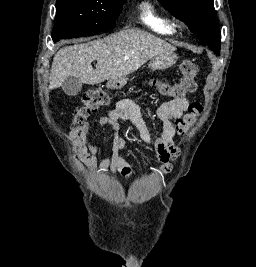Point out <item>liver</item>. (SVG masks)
I'll return each mask as SVG.
<instances>
[{"instance_id":"obj_1","label":"liver","mask_w":256,"mask_h":267,"mask_svg":"<svg viewBox=\"0 0 256 267\" xmlns=\"http://www.w3.org/2000/svg\"><path fill=\"white\" fill-rule=\"evenodd\" d=\"M175 50L177 48L148 32L126 28L103 40L66 46L53 58L49 90L60 88L69 76L90 86L104 80H123L151 58ZM93 60H97L96 70L91 66Z\"/></svg>"}]
</instances>
